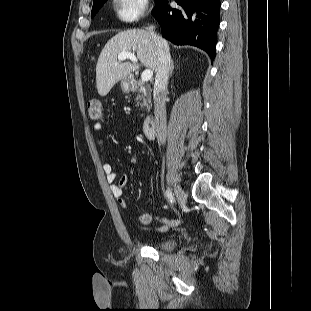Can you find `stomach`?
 Segmentation results:
<instances>
[{
  "mask_svg": "<svg viewBox=\"0 0 311 311\" xmlns=\"http://www.w3.org/2000/svg\"><path fill=\"white\" fill-rule=\"evenodd\" d=\"M120 87L123 93H129L131 90V80L130 78L122 79L120 82Z\"/></svg>",
  "mask_w": 311,
  "mask_h": 311,
  "instance_id": "stomach-1",
  "label": "stomach"
}]
</instances>
